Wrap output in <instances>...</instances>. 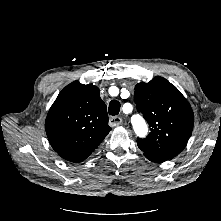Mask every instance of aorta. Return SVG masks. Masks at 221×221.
<instances>
[{
	"label": "aorta",
	"mask_w": 221,
	"mask_h": 221,
	"mask_svg": "<svg viewBox=\"0 0 221 221\" xmlns=\"http://www.w3.org/2000/svg\"><path fill=\"white\" fill-rule=\"evenodd\" d=\"M134 128H135L136 132L140 135L145 134L147 132L146 126L142 123H135Z\"/></svg>",
	"instance_id": "762f6f07"
}]
</instances>
